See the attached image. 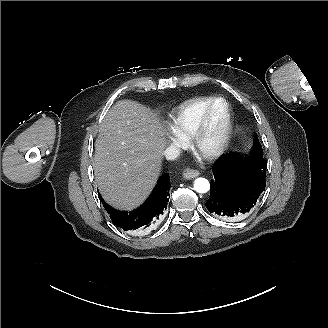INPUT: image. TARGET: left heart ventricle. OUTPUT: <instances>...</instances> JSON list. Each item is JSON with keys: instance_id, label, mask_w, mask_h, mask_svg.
<instances>
[{"instance_id": "b2bd125f", "label": "left heart ventricle", "mask_w": 328, "mask_h": 328, "mask_svg": "<svg viewBox=\"0 0 328 328\" xmlns=\"http://www.w3.org/2000/svg\"><path fill=\"white\" fill-rule=\"evenodd\" d=\"M226 121V111L223 105H219L205 120L203 144L211 149L217 143Z\"/></svg>"}]
</instances>
